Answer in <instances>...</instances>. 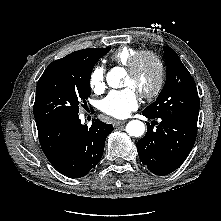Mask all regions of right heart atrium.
Listing matches in <instances>:
<instances>
[{
    "label": "right heart atrium",
    "instance_id": "d8ad5b80",
    "mask_svg": "<svg viewBox=\"0 0 221 221\" xmlns=\"http://www.w3.org/2000/svg\"><path fill=\"white\" fill-rule=\"evenodd\" d=\"M89 86L95 93H101L105 89V71L102 66H95L89 76Z\"/></svg>",
    "mask_w": 221,
    "mask_h": 221
}]
</instances>
